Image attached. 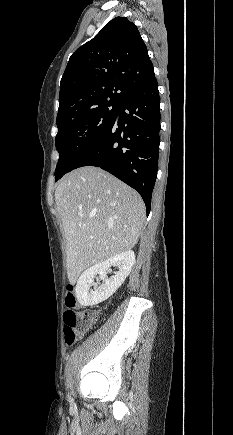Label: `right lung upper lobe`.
I'll list each match as a JSON object with an SVG mask.
<instances>
[{
	"label": "right lung upper lobe",
	"mask_w": 233,
	"mask_h": 435,
	"mask_svg": "<svg viewBox=\"0 0 233 435\" xmlns=\"http://www.w3.org/2000/svg\"><path fill=\"white\" fill-rule=\"evenodd\" d=\"M152 74L153 64L136 25L116 17L70 57L60 83L56 122L102 105L119 106Z\"/></svg>",
	"instance_id": "right-lung-upper-lobe-1"
}]
</instances>
